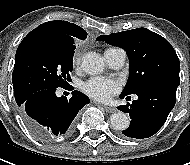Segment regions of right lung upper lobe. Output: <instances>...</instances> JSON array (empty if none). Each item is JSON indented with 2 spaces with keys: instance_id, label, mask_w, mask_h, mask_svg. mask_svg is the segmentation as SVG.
Instances as JSON below:
<instances>
[{
  "instance_id": "right-lung-upper-lobe-1",
  "label": "right lung upper lobe",
  "mask_w": 190,
  "mask_h": 165,
  "mask_svg": "<svg viewBox=\"0 0 190 165\" xmlns=\"http://www.w3.org/2000/svg\"><path fill=\"white\" fill-rule=\"evenodd\" d=\"M35 29L52 31L75 40H85L87 38V32L83 28L67 21H49L39 25Z\"/></svg>"
}]
</instances>
